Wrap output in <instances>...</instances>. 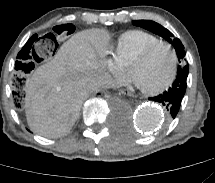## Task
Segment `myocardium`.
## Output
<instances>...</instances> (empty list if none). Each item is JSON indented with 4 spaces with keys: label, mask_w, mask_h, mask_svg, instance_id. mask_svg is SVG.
<instances>
[{
    "label": "myocardium",
    "mask_w": 215,
    "mask_h": 183,
    "mask_svg": "<svg viewBox=\"0 0 215 183\" xmlns=\"http://www.w3.org/2000/svg\"><path fill=\"white\" fill-rule=\"evenodd\" d=\"M160 46H166L170 50V52L172 54V57H173V71H172V74H171L170 78L163 85H161L160 87H157V88H154V89H145V88L140 87V89L144 93L149 94V95H157V94L162 93L163 91L168 89L174 83V81L176 80L177 75H178V71H179V58H178L176 50L173 48V46L169 42H167V41H158L156 43H153V44L149 45L145 49H143L132 60V63L130 65V66H133V65H136V64H139V63L143 62L144 60H146L150 56V54L156 48H158ZM130 74H131V77H132L133 81L137 84V81H136L133 73L130 72Z\"/></svg>",
    "instance_id": "myocardium-1"
}]
</instances>
